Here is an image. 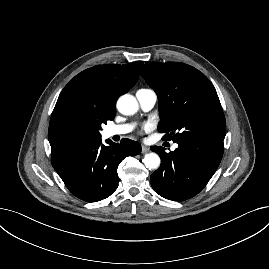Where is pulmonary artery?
Returning <instances> with one entry per match:
<instances>
[{"label":"pulmonary artery","mask_w":269,"mask_h":269,"mask_svg":"<svg viewBox=\"0 0 269 269\" xmlns=\"http://www.w3.org/2000/svg\"><path fill=\"white\" fill-rule=\"evenodd\" d=\"M137 100L140 104V107L144 111L151 110L157 101V95L156 93L151 89H140L136 93ZM132 129L131 125L129 124H123V125H114L111 127H108L106 130V135L109 137L115 136V135H123L128 132H130ZM172 148H177V144H173Z\"/></svg>","instance_id":"pulmonary-artery-1"}]
</instances>
